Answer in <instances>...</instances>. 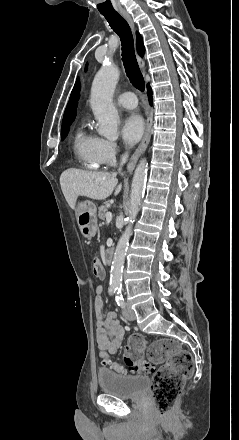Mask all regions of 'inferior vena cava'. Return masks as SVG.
Segmentation results:
<instances>
[{
	"label": "inferior vena cava",
	"mask_w": 239,
	"mask_h": 440,
	"mask_svg": "<svg viewBox=\"0 0 239 440\" xmlns=\"http://www.w3.org/2000/svg\"><path fill=\"white\" fill-rule=\"evenodd\" d=\"M128 160V152L127 154H123V156H121V166H123V164H125V162H127ZM121 168H119V172H120Z\"/></svg>",
	"instance_id": "1"
}]
</instances>
